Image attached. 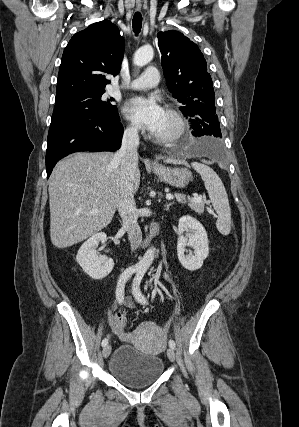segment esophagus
Returning a JSON list of instances; mask_svg holds the SVG:
<instances>
[{
    "label": "esophagus",
    "instance_id": "1",
    "mask_svg": "<svg viewBox=\"0 0 299 427\" xmlns=\"http://www.w3.org/2000/svg\"><path fill=\"white\" fill-rule=\"evenodd\" d=\"M136 7H137L138 10H140L141 9V4H137ZM151 164L152 165H157V162L155 160H152Z\"/></svg>",
    "mask_w": 299,
    "mask_h": 427
}]
</instances>
